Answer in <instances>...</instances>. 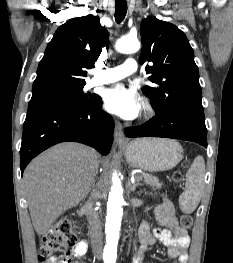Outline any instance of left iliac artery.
Here are the masks:
<instances>
[{
	"instance_id": "44dca946",
	"label": "left iliac artery",
	"mask_w": 233,
	"mask_h": 263,
	"mask_svg": "<svg viewBox=\"0 0 233 263\" xmlns=\"http://www.w3.org/2000/svg\"><path fill=\"white\" fill-rule=\"evenodd\" d=\"M109 263H115V261H111V262H109Z\"/></svg>"
}]
</instances>
